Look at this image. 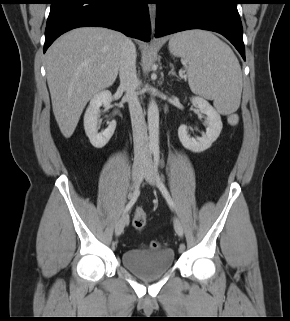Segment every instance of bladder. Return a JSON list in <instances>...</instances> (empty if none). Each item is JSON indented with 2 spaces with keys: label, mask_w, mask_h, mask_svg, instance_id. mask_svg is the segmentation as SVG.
Returning <instances> with one entry per match:
<instances>
[{
  "label": "bladder",
  "mask_w": 290,
  "mask_h": 321,
  "mask_svg": "<svg viewBox=\"0 0 290 321\" xmlns=\"http://www.w3.org/2000/svg\"><path fill=\"white\" fill-rule=\"evenodd\" d=\"M175 254L171 249L126 250L121 255L122 264L142 278L158 277L165 274L174 263Z\"/></svg>",
  "instance_id": "31cf9c89"
}]
</instances>
